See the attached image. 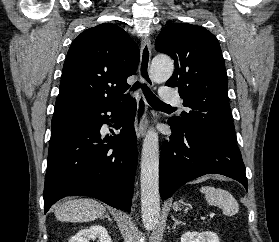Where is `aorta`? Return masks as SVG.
<instances>
[{
  "mask_svg": "<svg viewBox=\"0 0 279 242\" xmlns=\"http://www.w3.org/2000/svg\"><path fill=\"white\" fill-rule=\"evenodd\" d=\"M174 63L166 55H157L151 63V78L156 83H165L173 74ZM141 209L142 222L147 230L156 227L160 212L159 195V141L158 134L148 130L141 155Z\"/></svg>",
  "mask_w": 279,
  "mask_h": 242,
  "instance_id": "1",
  "label": "aorta"
}]
</instances>
